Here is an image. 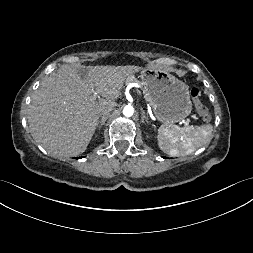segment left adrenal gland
<instances>
[{
    "label": "left adrenal gland",
    "instance_id": "left-adrenal-gland-1",
    "mask_svg": "<svg viewBox=\"0 0 253 253\" xmlns=\"http://www.w3.org/2000/svg\"><path fill=\"white\" fill-rule=\"evenodd\" d=\"M141 113H142L141 122L143 123L145 120L147 123H149L150 121H149L148 117L145 115L143 108H141Z\"/></svg>",
    "mask_w": 253,
    "mask_h": 253
}]
</instances>
